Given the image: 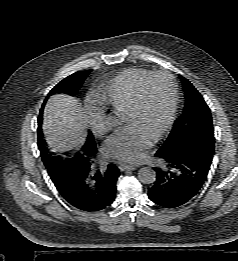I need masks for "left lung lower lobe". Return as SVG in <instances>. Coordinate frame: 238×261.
Here are the masks:
<instances>
[{
  "label": "left lung lower lobe",
  "mask_w": 238,
  "mask_h": 261,
  "mask_svg": "<svg viewBox=\"0 0 238 261\" xmlns=\"http://www.w3.org/2000/svg\"><path fill=\"white\" fill-rule=\"evenodd\" d=\"M158 157L162 166L154 167L156 179L148 190V197L159 206L175 208L187 203L201 189L213 154L209 146L200 145Z\"/></svg>",
  "instance_id": "left-lung-lower-lobe-1"
}]
</instances>
